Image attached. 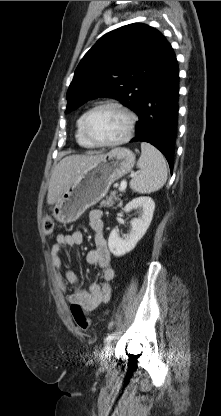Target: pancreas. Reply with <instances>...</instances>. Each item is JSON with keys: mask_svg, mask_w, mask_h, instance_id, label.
<instances>
[{"mask_svg": "<svg viewBox=\"0 0 221 416\" xmlns=\"http://www.w3.org/2000/svg\"><path fill=\"white\" fill-rule=\"evenodd\" d=\"M119 200V197L116 196V192H111L110 196L106 197L105 200L101 201L100 207H112L115 204V201Z\"/></svg>", "mask_w": 221, "mask_h": 416, "instance_id": "1", "label": "pancreas"}]
</instances>
